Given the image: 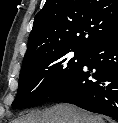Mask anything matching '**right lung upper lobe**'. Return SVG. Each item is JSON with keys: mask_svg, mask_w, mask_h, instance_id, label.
<instances>
[{"mask_svg": "<svg viewBox=\"0 0 118 123\" xmlns=\"http://www.w3.org/2000/svg\"><path fill=\"white\" fill-rule=\"evenodd\" d=\"M118 36V0H47L34 19L23 64L60 48L88 51Z\"/></svg>", "mask_w": 118, "mask_h": 123, "instance_id": "obj_1", "label": "right lung upper lobe"}]
</instances>
